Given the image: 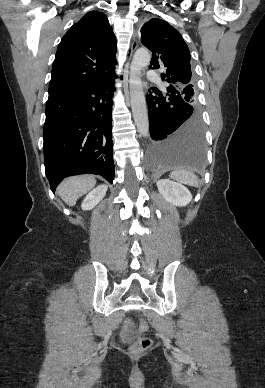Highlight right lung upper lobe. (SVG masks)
<instances>
[{
    "instance_id": "1",
    "label": "right lung upper lobe",
    "mask_w": 265,
    "mask_h": 388,
    "mask_svg": "<svg viewBox=\"0 0 265 388\" xmlns=\"http://www.w3.org/2000/svg\"><path fill=\"white\" fill-rule=\"evenodd\" d=\"M116 51L107 17L98 11L88 12L58 45L48 99L113 77Z\"/></svg>"
}]
</instances>
